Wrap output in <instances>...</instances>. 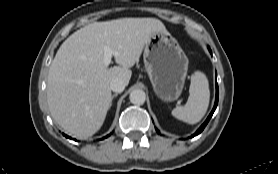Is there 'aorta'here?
Segmentation results:
<instances>
[{"label": "aorta", "instance_id": "aorta-1", "mask_svg": "<svg viewBox=\"0 0 278 174\" xmlns=\"http://www.w3.org/2000/svg\"><path fill=\"white\" fill-rule=\"evenodd\" d=\"M130 102L135 105H142L146 100V94L141 89H135L130 93Z\"/></svg>", "mask_w": 278, "mask_h": 174}]
</instances>
